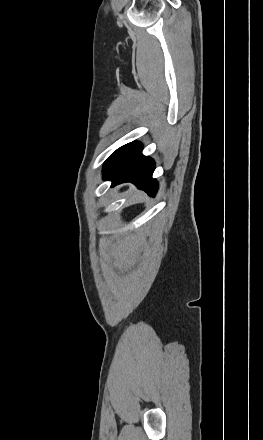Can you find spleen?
<instances>
[{"mask_svg": "<svg viewBox=\"0 0 263 440\" xmlns=\"http://www.w3.org/2000/svg\"><path fill=\"white\" fill-rule=\"evenodd\" d=\"M134 198L138 199L139 198V193L135 194Z\"/></svg>", "mask_w": 263, "mask_h": 440, "instance_id": "3e777b00", "label": "spleen"}]
</instances>
